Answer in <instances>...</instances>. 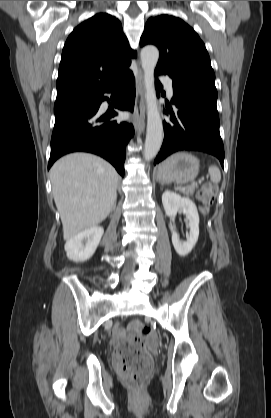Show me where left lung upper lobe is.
<instances>
[{"mask_svg":"<svg viewBox=\"0 0 271 418\" xmlns=\"http://www.w3.org/2000/svg\"><path fill=\"white\" fill-rule=\"evenodd\" d=\"M154 44L160 51L156 70L173 81L195 85L217 94L210 58L197 33L183 20L169 15L151 17L140 45Z\"/></svg>","mask_w":271,"mask_h":418,"instance_id":"5c2ea615","label":"left lung upper lobe"}]
</instances>
